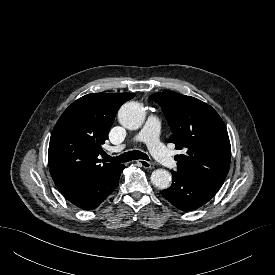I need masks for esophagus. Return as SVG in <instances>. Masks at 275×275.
Wrapping results in <instances>:
<instances>
[{
    "instance_id": "34e87169",
    "label": "esophagus",
    "mask_w": 275,
    "mask_h": 275,
    "mask_svg": "<svg viewBox=\"0 0 275 275\" xmlns=\"http://www.w3.org/2000/svg\"><path fill=\"white\" fill-rule=\"evenodd\" d=\"M137 163L143 167V168H146V169H149V168H152L153 167V164L149 161H146V160H137Z\"/></svg>"
}]
</instances>
